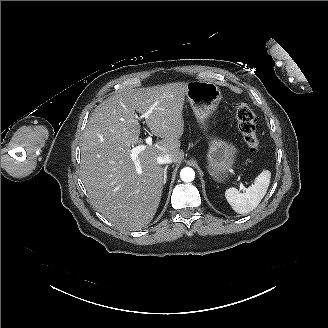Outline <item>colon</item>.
<instances>
[{
  "mask_svg": "<svg viewBox=\"0 0 328 328\" xmlns=\"http://www.w3.org/2000/svg\"><path fill=\"white\" fill-rule=\"evenodd\" d=\"M238 129L245 143L252 152H257L260 142L256 130V115L252 108L244 103L238 102L234 105Z\"/></svg>",
  "mask_w": 328,
  "mask_h": 328,
  "instance_id": "colon-1",
  "label": "colon"
}]
</instances>
